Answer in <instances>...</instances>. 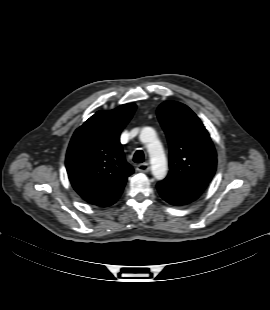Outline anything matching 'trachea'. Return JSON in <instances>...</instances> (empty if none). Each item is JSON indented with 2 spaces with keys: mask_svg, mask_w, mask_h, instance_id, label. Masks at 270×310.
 <instances>
[{
  "mask_svg": "<svg viewBox=\"0 0 270 310\" xmlns=\"http://www.w3.org/2000/svg\"><path fill=\"white\" fill-rule=\"evenodd\" d=\"M133 161L135 163H142V162H144V152L142 150H137L134 153Z\"/></svg>",
  "mask_w": 270,
  "mask_h": 310,
  "instance_id": "1",
  "label": "trachea"
}]
</instances>
